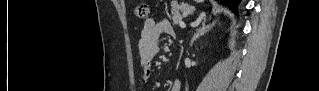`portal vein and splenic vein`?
Returning a JSON list of instances; mask_svg holds the SVG:
<instances>
[{
  "label": "portal vein and splenic vein",
  "instance_id": "1",
  "mask_svg": "<svg viewBox=\"0 0 319 91\" xmlns=\"http://www.w3.org/2000/svg\"><path fill=\"white\" fill-rule=\"evenodd\" d=\"M179 26H180L181 28H185V27H186L185 23L182 22V21L179 22Z\"/></svg>",
  "mask_w": 319,
  "mask_h": 91
}]
</instances>
